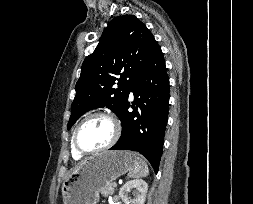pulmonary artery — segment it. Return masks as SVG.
<instances>
[{"label": "pulmonary artery", "instance_id": "1", "mask_svg": "<svg viewBox=\"0 0 253 204\" xmlns=\"http://www.w3.org/2000/svg\"><path fill=\"white\" fill-rule=\"evenodd\" d=\"M133 96V94L132 93H130V97H132Z\"/></svg>", "mask_w": 253, "mask_h": 204}]
</instances>
